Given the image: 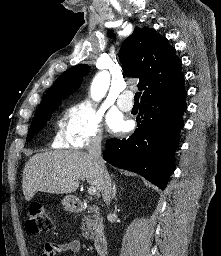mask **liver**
I'll return each instance as SVG.
<instances>
[{
  "instance_id": "1",
  "label": "liver",
  "mask_w": 221,
  "mask_h": 256,
  "mask_svg": "<svg viewBox=\"0 0 221 256\" xmlns=\"http://www.w3.org/2000/svg\"><path fill=\"white\" fill-rule=\"evenodd\" d=\"M80 179L101 191L100 171L90 154L73 150L38 153L25 164L23 194L30 201L37 192L72 193L78 189Z\"/></svg>"
}]
</instances>
